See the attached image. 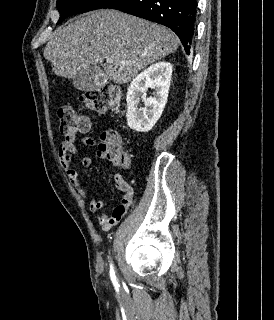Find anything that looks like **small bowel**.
<instances>
[{"instance_id": "obj_1", "label": "small bowel", "mask_w": 274, "mask_h": 320, "mask_svg": "<svg viewBox=\"0 0 274 320\" xmlns=\"http://www.w3.org/2000/svg\"><path fill=\"white\" fill-rule=\"evenodd\" d=\"M83 128L80 132H87L90 130L91 126L94 125L93 119H83ZM77 136L75 134L66 135L65 138L59 144V162L62 169L65 171L69 182L75 187L78 195L83 201H88L89 199V210L91 212H97L104 207V201L97 198V196L92 192V190L87 187L80 179V176L73 168V162L78 159L79 151L76 145ZM81 143L90 148L96 147V141L94 138L85 136L81 138ZM97 154L100 158L106 159L110 158L111 155L107 150L100 144L98 146ZM122 161V168H115L113 179L115 181L118 190L124 193L121 202L117 205L111 212H102L96 216V220L103 227L108 224L111 227L116 225L122 217L126 214L130 205L133 202L134 190L130 183H128L122 174V170L128 169L131 165L130 157L120 149L113 155V162ZM80 165L82 168L87 169L91 165V158L89 156H84L80 160ZM109 228V229H110ZM108 229V230H109ZM107 231V230H106Z\"/></svg>"}]
</instances>
